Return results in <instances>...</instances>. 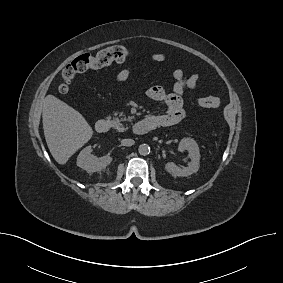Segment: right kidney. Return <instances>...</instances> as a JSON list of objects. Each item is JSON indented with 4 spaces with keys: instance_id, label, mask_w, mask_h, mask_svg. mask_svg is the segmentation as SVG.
<instances>
[{
    "instance_id": "1",
    "label": "right kidney",
    "mask_w": 283,
    "mask_h": 283,
    "mask_svg": "<svg viewBox=\"0 0 283 283\" xmlns=\"http://www.w3.org/2000/svg\"><path fill=\"white\" fill-rule=\"evenodd\" d=\"M92 148L88 146L84 148L77 157V166L86 170L88 173L101 171L105 169L112 161L110 156L97 158L91 154Z\"/></svg>"
}]
</instances>
